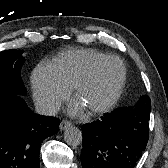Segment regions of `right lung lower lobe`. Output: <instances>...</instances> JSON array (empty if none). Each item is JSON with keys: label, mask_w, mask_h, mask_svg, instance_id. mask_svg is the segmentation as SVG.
<instances>
[{"label": "right lung lower lobe", "mask_w": 168, "mask_h": 168, "mask_svg": "<svg viewBox=\"0 0 168 168\" xmlns=\"http://www.w3.org/2000/svg\"><path fill=\"white\" fill-rule=\"evenodd\" d=\"M59 123L33 113L20 95L0 91V168H39L41 143Z\"/></svg>", "instance_id": "obj_1"}]
</instances>
